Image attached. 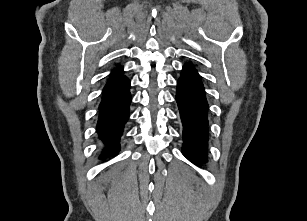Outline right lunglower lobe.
I'll list each match as a JSON object with an SVG mask.
<instances>
[{
    "mask_svg": "<svg viewBox=\"0 0 307 221\" xmlns=\"http://www.w3.org/2000/svg\"><path fill=\"white\" fill-rule=\"evenodd\" d=\"M130 82H125L103 90L102 101L99 105L97 132L106 148L100 158L117 154L123 127L129 118L131 102Z\"/></svg>",
    "mask_w": 307,
    "mask_h": 221,
    "instance_id": "1",
    "label": "right lung lower lobe"
}]
</instances>
